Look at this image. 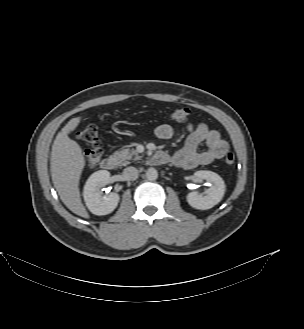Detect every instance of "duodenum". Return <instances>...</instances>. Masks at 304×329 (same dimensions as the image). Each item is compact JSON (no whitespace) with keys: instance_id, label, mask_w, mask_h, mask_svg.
<instances>
[{"instance_id":"obj_1","label":"duodenum","mask_w":304,"mask_h":329,"mask_svg":"<svg viewBox=\"0 0 304 329\" xmlns=\"http://www.w3.org/2000/svg\"><path fill=\"white\" fill-rule=\"evenodd\" d=\"M168 161L167 156L164 153H157L151 158V163L162 164ZM101 167L105 170H114L117 167V160L113 156H106L102 162Z\"/></svg>"}]
</instances>
